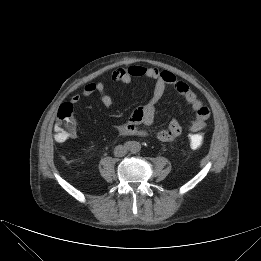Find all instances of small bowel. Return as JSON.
Wrapping results in <instances>:
<instances>
[{"instance_id": "1", "label": "small bowel", "mask_w": 261, "mask_h": 261, "mask_svg": "<svg viewBox=\"0 0 261 261\" xmlns=\"http://www.w3.org/2000/svg\"><path fill=\"white\" fill-rule=\"evenodd\" d=\"M146 77L154 80V90L152 96L142 105L136 108L129 119L117 127V131L122 136H145L146 131L141 129V125L150 126L155 118L156 106L164 95L166 89L173 87L190 105L195 113V119L190 125V132L202 131L210 118V110L203 104L198 96L189 86L177 80L174 74L168 71H161L157 68H147L139 65H132L126 68H118L111 74L114 82L129 84L134 78ZM98 94L105 107L112 105V98L107 92L106 85L102 81L89 82L83 87L82 95L90 97ZM81 96L76 94L71 97V103L77 104ZM182 134V126L177 119H172L168 127L156 134L158 140L162 142H174Z\"/></svg>"}]
</instances>
